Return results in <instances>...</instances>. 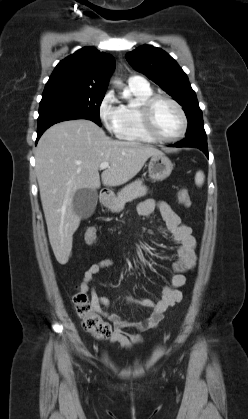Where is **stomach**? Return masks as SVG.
Returning <instances> with one entry per match:
<instances>
[{"instance_id": "obj_1", "label": "stomach", "mask_w": 248, "mask_h": 419, "mask_svg": "<svg viewBox=\"0 0 248 419\" xmlns=\"http://www.w3.org/2000/svg\"><path fill=\"white\" fill-rule=\"evenodd\" d=\"M173 164L164 154L153 155L148 164L149 177L154 181H162L170 176Z\"/></svg>"}]
</instances>
